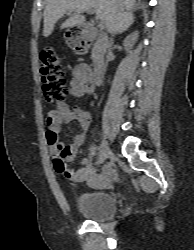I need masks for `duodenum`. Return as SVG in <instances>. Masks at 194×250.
Masks as SVG:
<instances>
[{
  "mask_svg": "<svg viewBox=\"0 0 194 250\" xmlns=\"http://www.w3.org/2000/svg\"><path fill=\"white\" fill-rule=\"evenodd\" d=\"M84 27L90 31H95L97 28L94 24L86 22ZM103 77V64L100 61H97L92 70L91 79L93 84H99Z\"/></svg>",
  "mask_w": 194,
  "mask_h": 250,
  "instance_id": "1",
  "label": "duodenum"
}]
</instances>
